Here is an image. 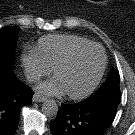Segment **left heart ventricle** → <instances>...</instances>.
I'll return each mask as SVG.
<instances>
[{
    "mask_svg": "<svg viewBox=\"0 0 135 135\" xmlns=\"http://www.w3.org/2000/svg\"><path fill=\"white\" fill-rule=\"evenodd\" d=\"M102 53L98 48H89L80 53L71 63L60 68L55 76L60 79L68 93L84 91L96 78L102 65Z\"/></svg>",
    "mask_w": 135,
    "mask_h": 135,
    "instance_id": "obj_1",
    "label": "left heart ventricle"
}]
</instances>
